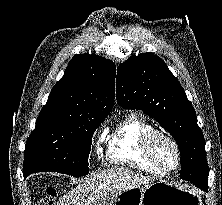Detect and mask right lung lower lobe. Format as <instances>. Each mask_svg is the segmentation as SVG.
I'll return each mask as SVG.
<instances>
[{"label":"right lung lower lobe","mask_w":222,"mask_h":205,"mask_svg":"<svg viewBox=\"0 0 222 205\" xmlns=\"http://www.w3.org/2000/svg\"><path fill=\"white\" fill-rule=\"evenodd\" d=\"M23 175H24V177H26V176H28L29 174H28L27 172L23 171Z\"/></svg>","instance_id":"right-lung-lower-lobe-1"}]
</instances>
